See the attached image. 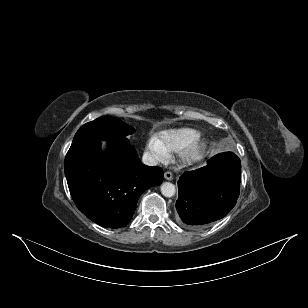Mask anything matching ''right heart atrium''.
<instances>
[{"label":"right heart atrium","mask_w":308,"mask_h":308,"mask_svg":"<svg viewBox=\"0 0 308 308\" xmlns=\"http://www.w3.org/2000/svg\"><path fill=\"white\" fill-rule=\"evenodd\" d=\"M146 150L156 161H165L168 158V152L160 145L156 138H150L147 141Z\"/></svg>","instance_id":"d8ad5b80"}]
</instances>
